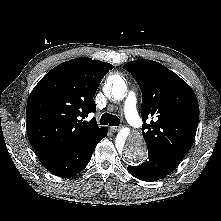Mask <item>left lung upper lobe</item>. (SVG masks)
Returning a JSON list of instances; mask_svg holds the SVG:
<instances>
[{"instance_id": "left-lung-upper-lobe-1", "label": "left lung upper lobe", "mask_w": 221, "mask_h": 221, "mask_svg": "<svg viewBox=\"0 0 221 221\" xmlns=\"http://www.w3.org/2000/svg\"><path fill=\"white\" fill-rule=\"evenodd\" d=\"M123 68L132 73L142 92V134L148 149L181 161L194 142L199 121L194 92L158 62L138 59Z\"/></svg>"}]
</instances>
